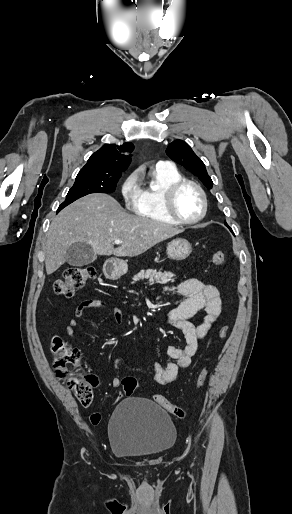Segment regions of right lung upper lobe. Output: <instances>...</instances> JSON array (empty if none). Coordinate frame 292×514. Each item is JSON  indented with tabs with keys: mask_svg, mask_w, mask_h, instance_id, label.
I'll return each mask as SVG.
<instances>
[{
	"mask_svg": "<svg viewBox=\"0 0 292 514\" xmlns=\"http://www.w3.org/2000/svg\"><path fill=\"white\" fill-rule=\"evenodd\" d=\"M133 149L132 143L121 146L106 144L90 156L78 175L120 178L131 162V157L124 153Z\"/></svg>",
	"mask_w": 292,
	"mask_h": 514,
	"instance_id": "right-lung-upper-lobe-1",
	"label": "right lung upper lobe"
}]
</instances>
